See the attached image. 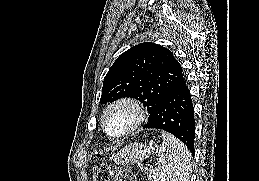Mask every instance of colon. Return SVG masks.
Returning a JSON list of instances; mask_svg holds the SVG:
<instances>
[{"label":"colon","instance_id":"obj_1","mask_svg":"<svg viewBox=\"0 0 259 181\" xmlns=\"http://www.w3.org/2000/svg\"><path fill=\"white\" fill-rule=\"evenodd\" d=\"M94 181H135L132 172L121 166L99 164L93 169Z\"/></svg>","mask_w":259,"mask_h":181}]
</instances>
